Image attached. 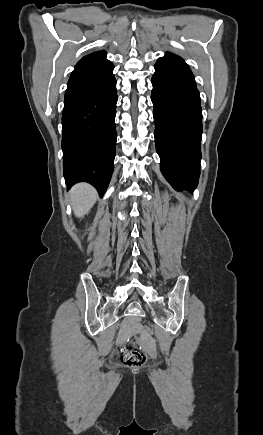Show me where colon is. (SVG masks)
<instances>
[{
    "label": "colon",
    "instance_id": "1",
    "mask_svg": "<svg viewBox=\"0 0 263 435\" xmlns=\"http://www.w3.org/2000/svg\"><path fill=\"white\" fill-rule=\"evenodd\" d=\"M142 329L149 335H154L152 330L147 324L141 325ZM146 360L144 351L138 346L136 339L133 337L126 341L123 345L118 347L112 354V361L115 364L124 366H141Z\"/></svg>",
    "mask_w": 263,
    "mask_h": 435
}]
</instances>
